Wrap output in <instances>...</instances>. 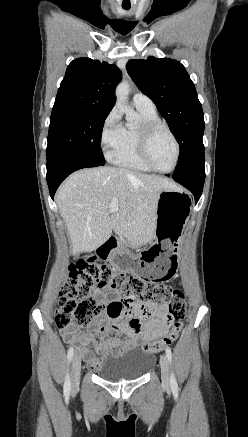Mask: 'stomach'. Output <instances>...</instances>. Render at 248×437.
Segmentation results:
<instances>
[{
  "label": "stomach",
  "instance_id": "0dacf381",
  "mask_svg": "<svg viewBox=\"0 0 248 437\" xmlns=\"http://www.w3.org/2000/svg\"><path fill=\"white\" fill-rule=\"evenodd\" d=\"M191 200L182 190L164 189L159 194L155 216V242L137 256L126 249L117 251L114 272L134 273L145 286H165L177 270L180 246L189 218Z\"/></svg>",
  "mask_w": 248,
  "mask_h": 437
}]
</instances>
